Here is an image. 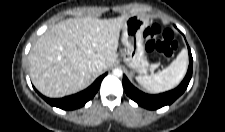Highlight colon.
<instances>
[{
  "mask_svg": "<svg viewBox=\"0 0 225 132\" xmlns=\"http://www.w3.org/2000/svg\"><path fill=\"white\" fill-rule=\"evenodd\" d=\"M143 35L147 49L164 57H171L177 49V42L171 30H163L154 24L147 27Z\"/></svg>",
  "mask_w": 225,
  "mask_h": 132,
  "instance_id": "1",
  "label": "colon"
}]
</instances>
